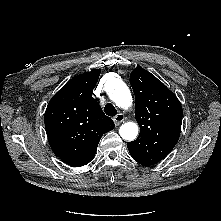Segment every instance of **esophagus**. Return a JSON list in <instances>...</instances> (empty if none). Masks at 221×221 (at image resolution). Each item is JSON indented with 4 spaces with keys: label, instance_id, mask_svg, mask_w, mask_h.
I'll list each match as a JSON object with an SVG mask.
<instances>
[{
    "label": "esophagus",
    "instance_id": "34e87169",
    "mask_svg": "<svg viewBox=\"0 0 221 221\" xmlns=\"http://www.w3.org/2000/svg\"><path fill=\"white\" fill-rule=\"evenodd\" d=\"M124 119V115L122 113H119L113 118V121L115 125H120L124 121Z\"/></svg>",
    "mask_w": 221,
    "mask_h": 221
}]
</instances>
